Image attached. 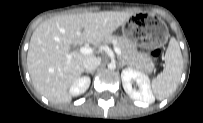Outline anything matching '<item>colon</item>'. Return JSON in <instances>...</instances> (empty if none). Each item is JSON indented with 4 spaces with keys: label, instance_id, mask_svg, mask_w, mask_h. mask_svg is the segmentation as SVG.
<instances>
[{
    "label": "colon",
    "instance_id": "colon-1",
    "mask_svg": "<svg viewBox=\"0 0 203 123\" xmlns=\"http://www.w3.org/2000/svg\"><path fill=\"white\" fill-rule=\"evenodd\" d=\"M160 50H158V49H156V50H153L152 52H151V56L154 58V59H156V58H158L159 56H160Z\"/></svg>",
    "mask_w": 203,
    "mask_h": 123
}]
</instances>
